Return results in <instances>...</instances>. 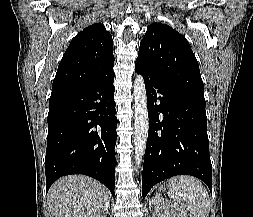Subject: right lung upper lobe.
<instances>
[{
    "label": "right lung upper lobe",
    "mask_w": 253,
    "mask_h": 217,
    "mask_svg": "<svg viewBox=\"0 0 253 217\" xmlns=\"http://www.w3.org/2000/svg\"><path fill=\"white\" fill-rule=\"evenodd\" d=\"M114 66L113 40L101 23L79 32L71 41L52 85L51 95L74 90L106 75Z\"/></svg>",
    "instance_id": "1"
}]
</instances>
